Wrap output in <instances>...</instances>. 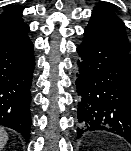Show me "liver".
I'll use <instances>...</instances> for the list:
<instances>
[{"instance_id": "1", "label": "liver", "mask_w": 131, "mask_h": 151, "mask_svg": "<svg viewBox=\"0 0 131 151\" xmlns=\"http://www.w3.org/2000/svg\"><path fill=\"white\" fill-rule=\"evenodd\" d=\"M7 141H8L7 132L4 129L0 128V151L6 145Z\"/></svg>"}]
</instances>
